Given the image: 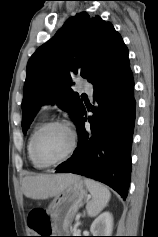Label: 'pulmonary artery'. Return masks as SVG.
Instances as JSON below:
<instances>
[{
	"instance_id": "e3ab8cb5",
	"label": "pulmonary artery",
	"mask_w": 158,
	"mask_h": 237,
	"mask_svg": "<svg viewBox=\"0 0 158 237\" xmlns=\"http://www.w3.org/2000/svg\"><path fill=\"white\" fill-rule=\"evenodd\" d=\"M83 87H84V89L85 90H87V91H91L92 90V86H91V84H89V83H84L83 84ZM43 109H48V105H44L43 106Z\"/></svg>"
}]
</instances>
